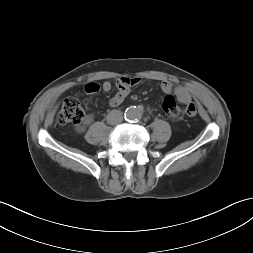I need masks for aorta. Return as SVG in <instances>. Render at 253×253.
Returning a JSON list of instances; mask_svg holds the SVG:
<instances>
[{
	"label": "aorta",
	"mask_w": 253,
	"mask_h": 253,
	"mask_svg": "<svg viewBox=\"0 0 253 253\" xmlns=\"http://www.w3.org/2000/svg\"><path fill=\"white\" fill-rule=\"evenodd\" d=\"M143 115L142 110L139 107L131 106L125 111V118L130 121L139 120Z\"/></svg>",
	"instance_id": "1"
}]
</instances>
